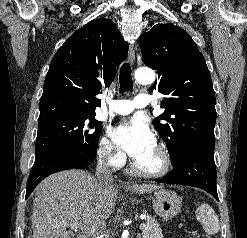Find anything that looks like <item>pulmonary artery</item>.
<instances>
[{"instance_id":"pulmonary-artery-1","label":"pulmonary artery","mask_w":247,"mask_h":238,"mask_svg":"<svg viewBox=\"0 0 247 238\" xmlns=\"http://www.w3.org/2000/svg\"><path fill=\"white\" fill-rule=\"evenodd\" d=\"M150 97L146 94H139L133 100H110L109 109L116 114H129L136 108H143L150 104Z\"/></svg>"}]
</instances>
